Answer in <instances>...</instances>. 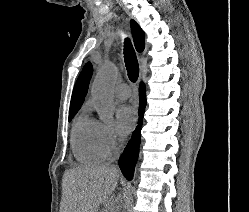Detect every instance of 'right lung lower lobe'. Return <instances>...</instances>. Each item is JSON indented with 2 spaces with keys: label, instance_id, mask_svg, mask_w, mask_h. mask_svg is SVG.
Instances as JSON below:
<instances>
[{
  "label": "right lung lower lobe",
  "instance_id": "1",
  "mask_svg": "<svg viewBox=\"0 0 249 212\" xmlns=\"http://www.w3.org/2000/svg\"><path fill=\"white\" fill-rule=\"evenodd\" d=\"M139 117L140 122L137 126L136 130L133 132L130 141L128 142L127 146L125 147L120 159H119V166L123 173V175L128 179L131 180L134 174L135 164L138 159L139 154V145H140V127L142 124V118L146 106V95H145V86L144 84L140 85L139 88Z\"/></svg>",
  "mask_w": 249,
  "mask_h": 212
}]
</instances>
